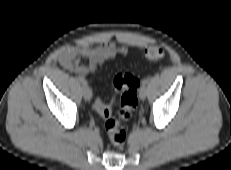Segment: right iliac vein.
Listing matches in <instances>:
<instances>
[{
  "instance_id": "obj_1",
  "label": "right iliac vein",
  "mask_w": 231,
  "mask_h": 170,
  "mask_svg": "<svg viewBox=\"0 0 231 170\" xmlns=\"http://www.w3.org/2000/svg\"><path fill=\"white\" fill-rule=\"evenodd\" d=\"M82 92H83L84 99L86 101H90L91 98H92V91H91V89L88 86H84Z\"/></svg>"
}]
</instances>
